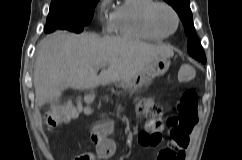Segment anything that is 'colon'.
I'll list each match as a JSON object with an SVG mask.
<instances>
[{"instance_id":"colon-1","label":"colon","mask_w":242,"mask_h":160,"mask_svg":"<svg viewBox=\"0 0 242 160\" xmlns=\"http://www.w3.org/2000/svg\"><path fill=\"white\" fill-rule=\"evenodd\" d=\"M196 74L195 66L184 64L179 72V80L181 82H190L195 79ZM197 107V93L189 89L183 93L181 100L177 104L178 116L176 118L172 117L168 121L172 128H178L171 131V136L178 140L181 145L184 144L185 140L182 131L190 132L197 123ZM83 109L84 106L78 104L56 106L46 114V126L49 130H53L75 119ZM144 112L149 117V122L146 129L139 135V143L145 146L156 145L160 143L162 138L160 133L162 110L156 105L148 104L144 108ZM108 154V152L101 151L98 155L107 156ZM75 160H95V158L93 154L83 153Z\"/></svg>"}]
</instances>
